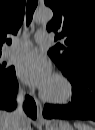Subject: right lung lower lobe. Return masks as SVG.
Here are the masks:
<instances>
[{"label": "right lung lower lobe", "instance_id": "obj_1", "mask_svg": "<svg viewBox=\"0 0 95 130\" xmlns=\"http://www.w3.org/2000/svg\"><path fill=\"white\" fill-rule=\"evenodd\" d=\"M5 77H0V109L11 111L15 109V97L18 90V82L15 75V69ZM24 110L33 119L36 118V105L32 98L26 97Z\"/></svg>", "mask_w": 95, "mask_h": 130}]
</instances>
